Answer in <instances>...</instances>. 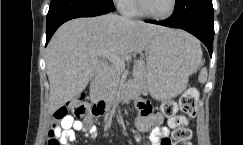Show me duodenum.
Returning <instances> with one entry per match:
<instances>
[{
    "instance_id": "obj_1",
    "label": "duodenum",
    "mask_w": 243,
    "mask_h": 145,
    "mask_svg": "<svg viewBox=\"0 0 243 145\" xmlns=\"http://www.w3.org/2000/svg\"><path fill=\"white\" fill-rule=\"evenodd\" d=\"M105 70L104 66L100 67L98 74H103ZM132 95L131 89L128 86H123L113 97L96 99L91 106V112L95 116H102L117 103L128 101Z\"/></svg>"
}]
</instances>
